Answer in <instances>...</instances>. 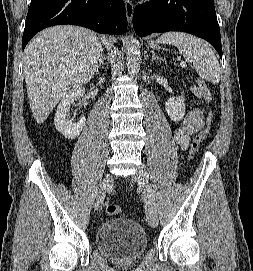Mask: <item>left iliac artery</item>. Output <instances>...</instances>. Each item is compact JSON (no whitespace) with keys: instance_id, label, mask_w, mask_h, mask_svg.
<instances>
[{"instance_id":"1","label":"left iliac artery","mask_w":253,"mask_h":271,"mask_svg":"<svg viewBox=\"0 0 253 271\" xmlns=\"http://www.w3.org/2000/svg\"><path fill=\"white\" fill-rule=\"evenodd\" d=\"M147 190H148V198L150 199L151 204L153 205L155 209H157L155 197H154V191L152 190L151 187H149Z\"/></svg>"}]
</instances>
